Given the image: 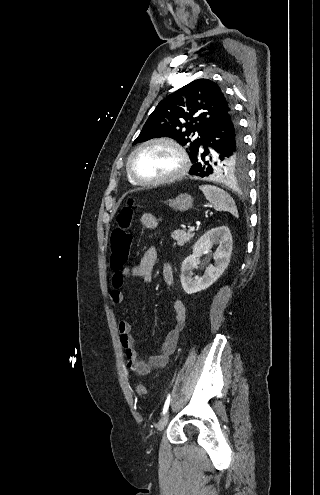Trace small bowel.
<instances>
[{
  "instance_id": "1",
  "label": "small bowel",
  "mask_w": 320,
  "mask_h": 495,
  "mask_svg": "<svg viewBox=\"0 0 320 495\" xmlns=\"http://www.w3.org/2000/svg\"><path fill=\"white\" fill-rule=\"evenodd\" d=\"M140 222L141 225L148 230H154L158 226V218L150 213L143 214ZM156 258V247L151 246L147 251H145L135 266L126 267L122 271H117L113 274V288L110 292V302L113 306L121 305L124 301V295L121 289L125 284V278L136 277L140 278L145 283H149L152 280V273ZM162 275L165 283L169 287H173L174 273L173 268L169 263H165L163 265ZM173 309L174 318L172 329L162 340L159 353L150 356L147 360L141 359L135 349V340L131 332V324L126 320L119 322L118 332L120 344L125 351L128 367L134 374L145 376L152 370L159 369L167 365L169 357L176 349L180 332L183 330L187 320L186 307L181 300L175 299L173 301Z\"/></svg>"
}]
</instances>
